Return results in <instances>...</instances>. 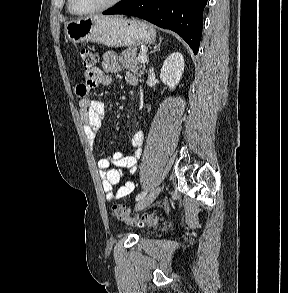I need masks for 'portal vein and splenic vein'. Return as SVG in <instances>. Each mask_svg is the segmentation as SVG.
I'll return each mask as SVG.
<instances>
[{
	"mask_svg": "<svg viewBox=\"0 0 288 293\" xmlns=\"http://www.w3.org/2000/svg\"><path fill=\"white\" fill-rule=\"evenodd\" d=\"M138 60L141 62V63H146L147 62V58H146V55L144 53L140 54L138 56Z\"/></svg>",
	"mask_w": 288,
	"mask_h": 293,
	"instance_id": "1",
	"label": "portal vein and splenic vein"
}]
</instances>
